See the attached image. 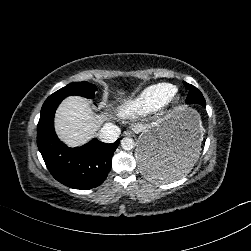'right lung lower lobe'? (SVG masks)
<instances>
[{"label":"right lung lower lobe","mask_w":251,"mask_h":251,"mask_svg":"<svg viewBox=\"0 0 251 251\" xmlns=\"http://www.w3.org/2000/svg\"><path fill=\"white\" fill-rule=\"evenodd\" d=\"M64 98H47L37 125V145L52 176L74 189H91L106 179L120 139L106 144L97 139L78 148H69L57 137L54 114Z\"/></svg>","instance_id":"98d812e1"}]
</instances>
